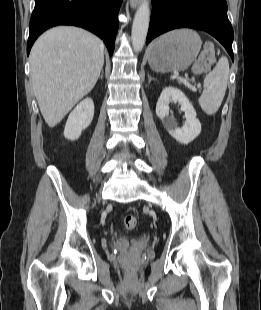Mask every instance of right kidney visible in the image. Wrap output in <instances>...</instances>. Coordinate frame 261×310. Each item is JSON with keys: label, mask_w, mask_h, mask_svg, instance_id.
<instances>
[{"label": "right kidney", "mask_w": 261, "mask_h": 310, "mask_svg": "<svg viewBox=\"0 0 261 310\" xmlns=\"http://www.w3.org/2000/svg\"><path fill=\"white\" fill-rule=\"evenodd\" d=\"M93 116V101L91 98H86L70 113L64 129V137L69 140H77L82 131L91 124Z\"/></svg>", "instance_id": "ca27d5eb"}]
</instances>
